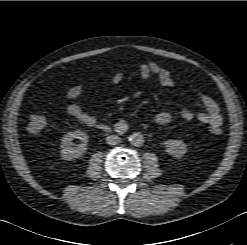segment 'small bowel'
<instances>
[{"instance_id":"small-bowel-1","label":"small bowel","mask_w":247,"mask_h":245,"mask_svg":"<svg viewBox=\"0 0 247 245\" xmlns=\"http://www.w3.org/2000/svg\"><path fill=\"white\" fill-rule=\"evenodd\" d=\"M140 76L144 80H148L151 77H156L159 84L163 87H171L174 84L171 73L162 68L156 62H143L139 66ZM123 73L116 72L110 79V82L114 85L120 84L123 80ZM84 92V86L79 84L71 87L67 91L68 99H76ZM198 98L204 108V111H196L189 108H184L180 112V116L185 121L197 120L201 123L209 125L211 128L220 127L223 119L220 114V108L216 100L208 94L198 93ZM67 113L76 119L78 122L92 126L96 123V119L93 115L83 110V108L77 103H69L66 107ZM171 114L165 111L159 112L155 116V122L158 125H167L171 122Z\"/></svg>"}]
</instances>
